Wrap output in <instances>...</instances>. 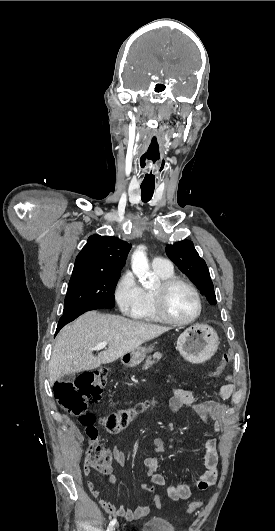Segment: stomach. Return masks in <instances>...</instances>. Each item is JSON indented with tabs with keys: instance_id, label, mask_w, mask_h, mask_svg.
Instances as JSON below:
<instances>
[{
	"instance_id": "0dacf381",
	"label": "stomach",
	"mask_w": 275,
	"mask_h": 531,
	"mask_svg": "<svg viewBox=\"0 0 275 531\" xmlns=\"http://www.w3.org/2000/svg\"><path fill=\"white\" fill-rule=\"evenodd\" d=\"M219 345V337L208 325H194L186 329L178 337L177 347L180 355L188 363H206L215 355ZM154 351V345L150 347H138L134 351H129L121 357L124 365H139L146 359L148 353Z\"/></svg>"
}]
</instances>
